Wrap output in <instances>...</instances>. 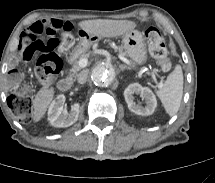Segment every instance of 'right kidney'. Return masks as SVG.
Returning a JSON list of instances; mask_svg holds the SVG:
<instances>
[{
  "label": "right kidney",
  "instance_id": "1",
  "mask_svg": "<svg viewBox=\"0 0 215 183\" xmlns=\"http://www.w3.org/2000/svg\"><path fill=\"white\" fill-rule=\"evenodd\" d=\"M65 99L63 94L58 95L55 100L52 101L48 109V120L54 127H69L78 120L79 103H74L71 107V111L68 113L64 109Z\"/></svg>",
  "mask_w": 215,
  "mask_h": 183
}]
</instances>
